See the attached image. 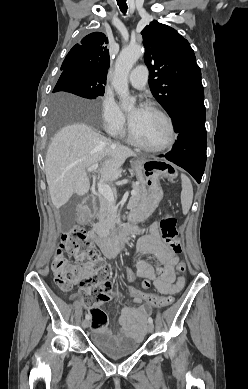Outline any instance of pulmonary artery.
<instances>
[{
	"mask_svg": "<svg viewBox=\"0 0 248 389\" xmlns=\"http://www.w3.org/2000/svg\"><path fill=\"white\" fill-rule=\"evenodd\" d=\"M148 79V69L145 65H139L129 74V81L135 88L142 89L145 87Z\"/></svg>",
	"mask_w": 248,
	"mask_h": 389,
	"instance_id": "e3ab8cb5",
	"label": "pulmonary artery"
}]
</instances>
